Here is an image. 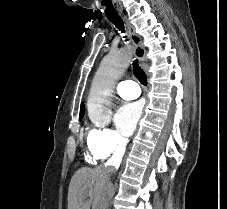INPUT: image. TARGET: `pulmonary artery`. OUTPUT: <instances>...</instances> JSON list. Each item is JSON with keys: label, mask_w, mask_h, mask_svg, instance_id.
<instances>
[{"label": "pulmonary artery", "mask_w": 227, "mask_h": 209, "mask_svg": "<svg viewBox=\"0 0 227 209\" xmlns=\"http://www.w3.org/2000/svg\"><path fill=\"white\" fill-rule=\"evenodd\" d=\"M132 81L121 82L116 87V93L123 99H135L139 95L138 84H126Z\"/></svg>", "instance_id": "pulmonary-artery-1"}]
</instances>
